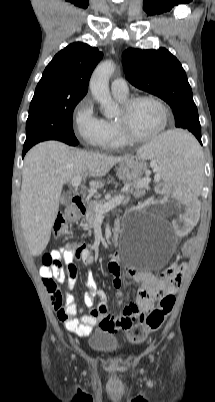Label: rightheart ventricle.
<instances>
[{
    "instance_id": "1",
    "label": "right heart ventricle",
    "mask_w": 215,
    "mask_h": 402,
    "mask_svg": "<svg viewBox=\"0 0 215 402\" xmlns=\"http://www.w3.org/2000/svg\"><path fill=\"white\" fill-rule=\"evenodd\" d=\"M115 98L123 104L124 101L128 99V96H117L115 95ZM106 125L108 127V138L104 144L105 147L110 148V149H115V148H121L124 147L128 142L124 139L122 136L117 119H109L106 120Z\"/></svg>"
}]
</instances>
